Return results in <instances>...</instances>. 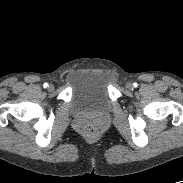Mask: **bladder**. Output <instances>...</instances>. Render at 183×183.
<instances>
[{
    "mask_svg": "<svg viewBox=\"0 0 183 183\" xmlns=\"http://www.w3.org/2000/svg\"><path fill=\"white\" fill-rule=\"evenodd\" d=\"M70 104L74 112L107 111L111 99L106 73L101 70L77 73L73 80Z\"/></svg>",
    "mask_w": 183,
    "mask_h": 183,
    "instance_id": "31cf9c89",
    "label": "bladder"
}]
</instances>
